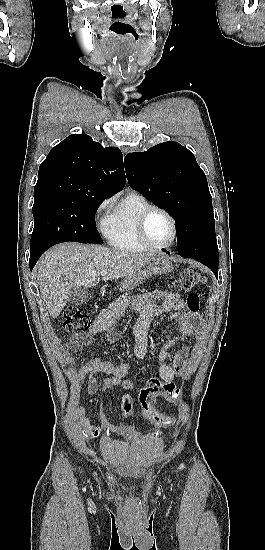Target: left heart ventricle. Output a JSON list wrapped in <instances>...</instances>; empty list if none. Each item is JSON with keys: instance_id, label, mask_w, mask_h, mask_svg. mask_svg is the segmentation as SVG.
Wrapping results in <instances>:
<instances>
[{"instance_id": "obj_1", "label": "left heart ventricle", "mask_w": 265, "mask_h": 550, "mask_svg": "<svg viewBox=\"0 0 265 550\" xmlns=\"http://www.w3.org/2000/svg\"><path fill=\"white\" fill-rule=\"evenodd\" d=\"M149 239L156 245H163L172 237L170 220L161 212H153L146 224Z\"/></svg>"}]
</instances>
